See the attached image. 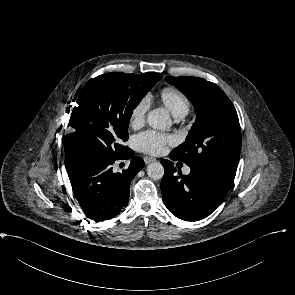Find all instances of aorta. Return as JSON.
Masks as SVG:
<instances>
[{
  "instance_id": "obj_1",
  "label": "aorta",
  "mask_w": 295,
  "mask_h": 295,
  "mask_svg": "<svg viewBox=\"0 0 295 295\" xmlns=\"http://www.w3.org/2000/svg\"><path fill=\"white\" fill-rule=\"evenodd\" d=\"M147 122L153 129L167 130L172 125L169 112L164 108H156L148 113ZM147 175L153 180H160L164 175V167L159 162L148 165Z\"/></svg>"
}]
</instances>
